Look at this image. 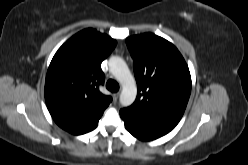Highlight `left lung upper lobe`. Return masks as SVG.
I'll return each mask as SVG.
<instances>
[{
    "label": "left lung upper lobe",
    "instance_id": "left-lung-upper-lobe-1",
    "mask_svg": "<svg viewBox=\"0 0 248 165\" xmlns=\"http://www.w3.org/2000/svg\"><path fill=\"white\" fill-rule=\"evenodd\" d=\"M134 61L137 98L124 113L172 130L180 121L191 93L189 68L166 39L144 33L126 39Z\"/></svg>",
    "mask_w": 248,
    "mask_h": 165
}]
</instances>
